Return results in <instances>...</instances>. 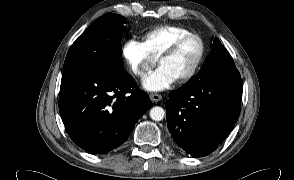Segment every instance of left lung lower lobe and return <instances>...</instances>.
<instances>
[{"mask_svg": "<svg viewBox=\"0 0 294 180\" xmlns=\"http://www.w3.org/2000/svg\"><path fill=\"white\" fill-rule=\"evenodd\" d=\"M242 91L241 78L184 85L172 91L166 101L171 137L193 157L212 153L238 120Z\"/></svg>", "mask_w": 294, "mask_h": 180, "instance_id": "left-lung-lower-lobe-1", "label": "left lung lower lobe"}]
</instances>
